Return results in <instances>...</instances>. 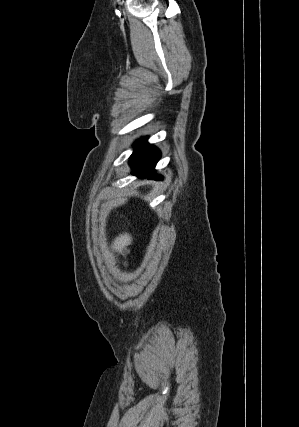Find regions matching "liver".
Returning a JSON list of instances; mask_svg holds the SVG:
<instances>
[{"label":"liver","instance_id":"liver-1","mask_svg":"<svg viewBox=\"0 0 299 427\" xmlns=\"http://www.w3.org/2000/svg\"><path fill=\"white\" fill-rule=\"evenodd\" d=\"M131 242H132V237L130 236V234L124 233L115 238L112 247L115 251L121 252L123 251V249H126V247L130 245Z\"/></svg>","mask_w":299,"mask_h":427}]
</instances>
